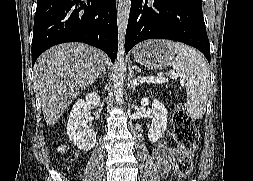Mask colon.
<instances>
[{
	"label": "colon",
	"instance_id": "obj_1",
	"mask_svg": "<svg viewBox=\"0 0 253 181\" xmlns=\"http://www.w3.org/2000/svg\"><path fill=\"white\" fill-rule=\"evenodd\" d=\"M173 136L179 145L180 155L176 164V175L179 178L187 177L193 168V154L196 149L198 132L191 117L181 105L173 114Z\"/></svg>",
	"mask_w": 253,
	"mask_h": 181
}]
</instances>
